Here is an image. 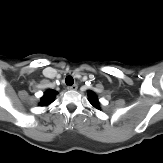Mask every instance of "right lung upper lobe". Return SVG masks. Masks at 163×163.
<instances>
[{
	"mask_svg": "<svg viewBox=\"0 0 163 163\" xmlns=\"http://www.w3.org/2000/svg\"><path fill=\"white\" fill-rule=\"evenodd\" d=\"M57 92L54 91V90H47L45 93H44V96L41 98V103L40 105L41 106H47L49 105L50 103L53 102L55 96H56Z\"/></svg>",
	"mask_w": 163,
	"mask_h": 163,
	"instance_id": "right-lung-upper-lobe-1",
	"label": "right lung upper lobe"
}]
</instances>
